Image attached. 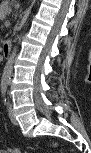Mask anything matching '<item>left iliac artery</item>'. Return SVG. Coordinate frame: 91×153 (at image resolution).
I'll list each match as a JSON object with an SVG mask.
<instances>
[{
	"label": "left iliac artery",
	"mask_w": 91,
	"mask_h": 153,
	"mask_svg": "<svg viewBox=\"0 0 91 153\" xmlns=\"http://www.w3.org/2000/svg\"><path fill=\"white\" fill-rule=\"evenodd\" d=\"M5 102H6V100H5ZM7 104H9L8 100H7Z\"/></svg>",
	"instance_id": "44dca946"
}]
</instances>
